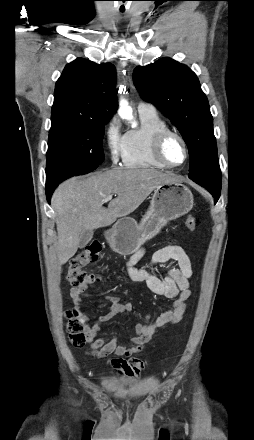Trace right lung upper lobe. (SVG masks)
I'll use <instances>...</instances> for the list:
<instances>
[{
    "mask_svg": "<svg viewBox=\"0 0 254 440\" xmlns=\"http://www.w3.org/2000/svg\"><path fill=\"white\" fill-rule=\"evenodd\" d=\"M113 64L78 58L69 63L55 85L52 116L62 113L97 120L110 119L118 103Z\"/></svg>",
    "mask_w": 254,
    "mask_h": 440,
    "instance_id": "cb5924a9",
    "label": "right lung upper lobe"
}]
</instances>
